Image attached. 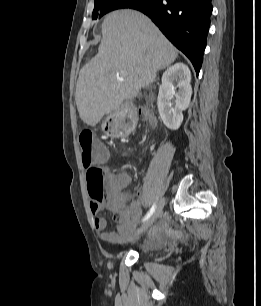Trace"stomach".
<instances>
[{
    "label": "stomach",
    "instance_id": "1",
    "mask_svg": "<svg viewBox=\"0 0 261 306\" xmlns=\"http://www.w3.org/2000/svg\"><path fill=\"white\" fill-rule=\"evenodd\" d=\"M136 126V119L127 112H119L116 115V126L113 134L116 136H125L130 134Z\"/></svg>",
    "mask_w": 261,
    "mask_h": 306
}]
</instances>
